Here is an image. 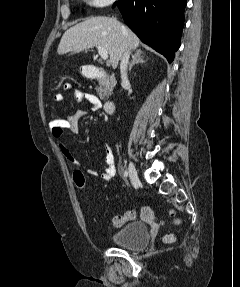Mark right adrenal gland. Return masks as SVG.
Segmentation results:
<instances>
[{
	"instance_id": "1",
	"label": "right adrenal gland",
	"mask_w": 240,
	"mask_h": 287,
	"mask_svg": "<svg viewBox=\"0 0 240 287\" xmlns=\"http://www.w3.org/2000/svg\"><path fill=\"white\" fill-rule=\"evenodd\" d=\"M143 57H144V52L141 51L140 49H137L135 54L132 56V61L129 65L128 70L131 71L132 67L137 63H145V60L143 59Z\"/></svg>"
}]
</instances>
